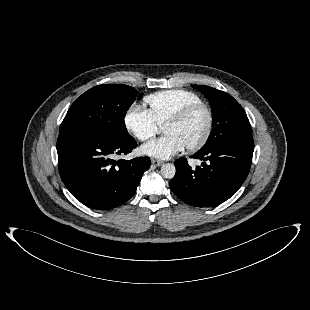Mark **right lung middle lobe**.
Listing matches in <instances>:
<instances>
[{
	"instance_id": "dd1d6c3e",
	"label": "right lung middle lobe",
	"mask_w": 310,
	"mask_h": 310,
	"mask_svg": "<svg viewBox=\"0 0 310 310\" xmlns=\"http://www.w3.org/2000/svg\"><path fill=\"white\" fill-rule=\"evenodd\" d=\"M137 94L123 84L95 86L72 104L59 133L81 131L113 140L129 138L124 117Z\"/></svg>"
}]
</instances>
